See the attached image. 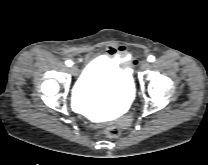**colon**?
Listing matches in <instances>:
<instances>
[{
    "instance_id": "5ec220e1",
    "label": "colon",
    "mask_w": 208,
    "mask_h": 165,
    "mask_svg": "<svg viewBox=\"0 0 208 165\" xmlns=\"http://www.w3.org/2000/svg\"><path fill=\"white\" fill-rule=\"evenodd\" d=\"M102 134L108 138H116L119 136L120 130L116 126H108L104 128Z\"/></svg>"
}]
</instances>
